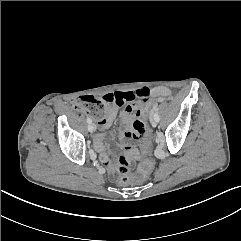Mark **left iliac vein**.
<instances>
[{
	"label": "left iliac vein",
	"mask_w": 241,
	"mask_h": 241,
	"mask_svg": "<svg viewBox=\"0 0 241 241\" xmlns=\"http://www.w3.org/2000/svg\"><path fill=\"white\" fill-rule=\"evenodd\" d=\"M151 124H152L153 127H156L157 126V121L153 118L151 120Z\"/></svg>",
	"instance_id": "4c4485c4"
}]
</instances>
